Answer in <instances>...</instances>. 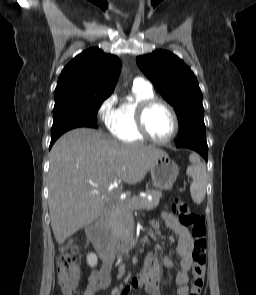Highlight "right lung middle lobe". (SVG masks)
Wrapping results in <instances>:
<instances>
[{
  "label": "right lung middle lobe",
  "instance_id": "right-lung-middle-lobe-1",
  "mask_svg": "<svg viewBox=\"0 0 256 295\" xmlns=\"http://www.w3.org/2000/svg\"><path fill=\"white\" fill-rule=\"evenodd\" d=\"M106 98H94L76 102L55 103L51 132L81 126L90 119H96L98 109Z\"/></svg>",
  "mask_w": 256,
  "mask_h": 295
}]
</instances>
